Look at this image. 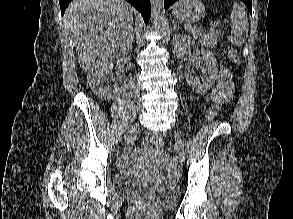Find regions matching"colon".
Returning a JSON list of instances; mask_svg holds the SVG:
<instances>
[{"mask_svg":"<svg viewBox=\"0 0 293 219\" xmlns=\"http://www.w3.org/2000/svg\"><path fill=\"white\" fill-rule=\"evenodd\" d=\"M228 56H229V60L234 65L238 66L240 64L239 54L236 49H231L229 51ZM219 110H220V105L218 103L211 105L207 112L208 119H213L216 116V114L219 112ZM144 145L145 146H162L163 139L161 138L159 134L151 133L148 136H146V138L144 139Z\"/></svg>","mask_w":293,"mask_h":219,"instance_id":"5ec220e1","label":"colon"}]
</instances>
